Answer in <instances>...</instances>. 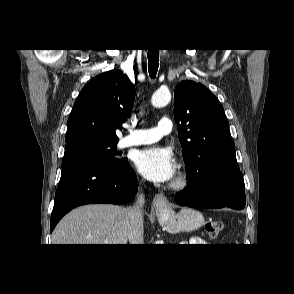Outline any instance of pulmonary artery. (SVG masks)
Listing matches in <instances>:
<instances>
[{
	"mask_svg": "<svg viewBox=\"0 0 294 294\" xmlns=\"http://www.w3.org/2000/svg\"><path fill=\"white\" fill-rule=\"evenodd\" d=\"M172 130V124L169 118L163 117L155 128L146 130H134L130 135L124 137L120 145L128 147L132 145H141L154 143L167 135Z\"/></svg>",
	"mask_w": 294,
	"mask_h": 294,
	"instance_id": "obj_1",
	"label": "pulmonary artery"
}]
</instances>
